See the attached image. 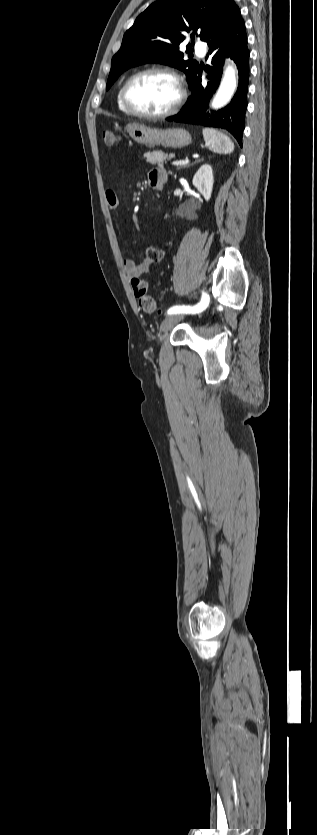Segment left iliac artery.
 <instances>
[{
  "instance_id": "1",
  "label": "left iliac artery",
  "mask_w": 317,
  "mask_h": 835,
  "mask_svg": "<svg viewBox=\"0 0 317 835\" xmlns=\"http://www.w3.org/2000/svg\"><path fill=\"white\" fill-rule=\"evenodd\" d=\"M208 303H209L208 294L205 293V292H202V298H201L200 302L197 303L196 305H194V306L176 305V306H173V307L169 308V310L167 311V314L171 315V314H179V313H199V312H202L208 306Z\"/></svg>"
}]
</instances>
